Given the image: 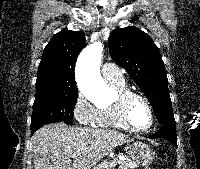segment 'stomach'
Returning <instances> with one entry per match:
<instances>
[{
  "label": "stomach",
  "instance_id": "0dacf381",
  "mask_svg": "<svg viewBox=\"0 0 200 169\" xmlns=\"http://www.w3.org/2000/svg\"><path fill=\"white\" fill-rule=\"evenodd\" d=\"M129 156L137 166H148L155 158L153 150L143 142L129 144Z\"/></svg>",
  "mask_w": 200,
  "mask_h": 169
}]
</instances>
